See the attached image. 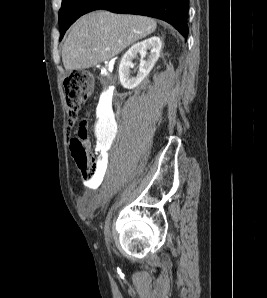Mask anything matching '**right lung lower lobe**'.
<instances>
[{
    "instance_id": "1",
    "label": "right lung lower lobe",
    "mask_w": 267,
    "mask_h": 298,
    "mask_svg": "<svg viewBox=\"0 0 267 298\" xmlns=\"http://www.w3.org/2000/svg\"><path fill=\"white\" fill-rule=\"evenodd\" d=\"M189 0H98L90 11L105 9L114 13L158 18L174 26L184 38L188 35Z\"/></svg>"
}]
</instances>
